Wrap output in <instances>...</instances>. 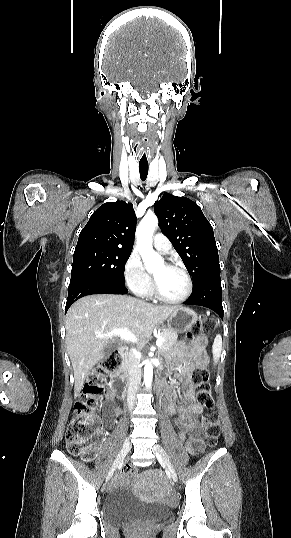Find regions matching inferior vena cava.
I'll return each mask as SVG.
<instances>
[{
    "instance_id": "obj_1",
    "label": "inferior vena cava",
    "mask_w": 291,
    "mask_h": 538,
    "mask_svg": "<svg viewBox=\"0 0 291 538\" xmlns=\"http://www.w3.org/2000/svg\"><path fill=\"white\" fill-rule=\"evenodd\" d=\"M136 349H131L129 353V361H130V371H129V387H128V395H127V403L128 408L132 410L135 405L136 401V393L138 391V388L140 386L141 381V371L138 365V361L136 359Z\"/></svg>"
}]
</instances>
